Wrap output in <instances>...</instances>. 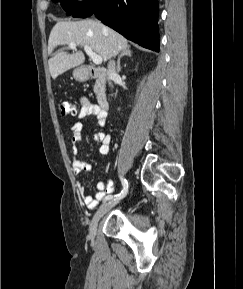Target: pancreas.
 I'll list each match as a JSON object with an SVG mask.
<instances>
[{"label":"pancreas","mask_w":243,"mask_h":289,"mask_svg":"<svg viewBox=\"0 0 243 289\" xmlns=\"http://www.w3.org/2000/svg\"><path fill=\"white\" fill-rule=\"evenodd\" d=\"M99 92H100V81L97 80V81L95 82V85H94V93H95L96 95H98Z\"/></svg>","instance_id":"cf45deb5"}]
</instances>
